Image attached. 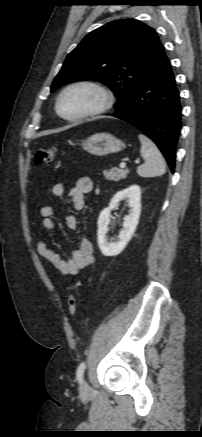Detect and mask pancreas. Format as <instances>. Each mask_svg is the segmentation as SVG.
Here are the masks:
<instances>
[{
    "label": "pancreas",
    "instance_id": "cf45deb5",
    "mask_svg": "<svg viewBox=\"0 0 202 437\" xmlns=\"http://www.w3.org/2000/svg\"><path fill=\"white\" fill-rule=\"evenodd\" d=\"M129 173L128 169L112 168L103 172L104 177L110 181H119L125 179Z\"/></svg>",
    "mask_w": 202,
    "mask_h": 437
}]
</instances>
